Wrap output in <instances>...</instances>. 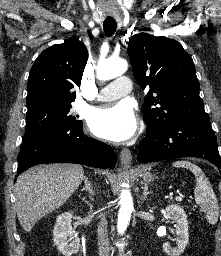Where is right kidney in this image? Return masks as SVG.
<instances>
[{
  "label": "right kidney",
  "instance_id": "right-kidney-1",
  "mask_svg": "<svg viewBox=\"0 0 221 256\" xmlns=\"http://www.w3.org/2000/svg\"><path fill=\"white\" fill-rule=\"evenodd\" d=\"M72 217V213L59 215L53 230L54 244L65 256L77 253L80 248V239L72 231Z\"/></svg>",
  "mask_w": 221,
  "mask_h": 256
}]
</instances>
